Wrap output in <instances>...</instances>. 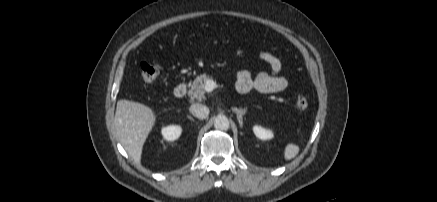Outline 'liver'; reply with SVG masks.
<instances>
[{"label":"liver","instance_id":"obj_1","mask_svg":"<svg viewBox=\"0 0 437 202\" xmlns=\"http://www.w3.org/2000/svg\"><path fill=\"white\" fill-rule=\"evenodd\" d=\"M156 122L154 111L129 100L117 102L114 124L116 135L129 156L140 163L143 145Z\"/></svg>","mask_w":437,"mask_h":202}]
</instances>
